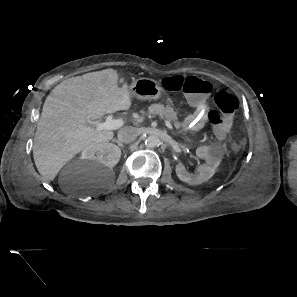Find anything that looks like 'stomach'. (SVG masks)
I'll return each mask as SVG.
<instances>
[{
	"instance_id": "0dacf381",
	"label": "stomach",
	"mask_w": 297,
	"mask_h": 297,
	"mask_svg": "<svg viewBox=\"0 0 297 297\" xmlns=\"http://www.w3.org/2000/svg\"><path fill=\"white\" fill-rule=\"evenodd\" d=\"M162 88L158 82L150 78H138L129 87L131 97L141 100H155L161 95Z\"/></svg>"
}]
</instances>
